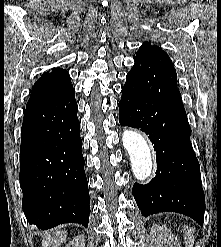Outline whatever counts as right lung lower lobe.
<instances>
[{"mask_svg": "<svg viewBox=\"0 0 221 247\" xmlns=\"http://www.w3.org/2000/svg\"><path fill=\"white\" fill-rule=\"evenodd\" d=\"M77 111L75 89H71L24 112L22 207L27 221L41 230L73 222L88 226L89 190Z\"/></svg>", "mask_w": 221, "mask_h": 247, "instance_id": "obj_1", "label": "right lung lower lobe"}]
</instances>
